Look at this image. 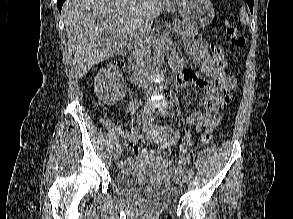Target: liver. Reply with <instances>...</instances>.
Instances as JSON below:
<instances>
[{
    "label": "liver",
    "instance_id": "1",
    "mask_svg": "<svg viewBox=\"0 0 293 219\" xmlns=\"http://www.w3.org/2000/svg\"><path fill=\"white\" fill-rule=\"evenodd\" d=\"M156 0H66L62 15L74 53L76 73L83 77L95 64L126 54L139 27L150 30L157 18Z\"/></svg>",
    "mask_w": 293,
    "mask_h": 219
}]
</instances>
